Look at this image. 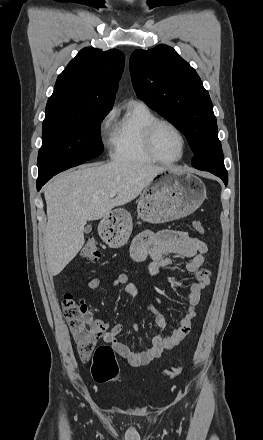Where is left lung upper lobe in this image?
Instances as JSON below:
<instances>
[{
    "label": "left lung upper lobe",
    "mask_w": 263,
    "mask_h": 440,
    "mask_svg": "<svg viewBox=\"0 0 263 440\" xmlns=\"http://www.w3.org/2000/svg\"><path fill=\"white\" fill-rule=\"evenodd\" d=\"M137 96L187 137L200 170L227 172L213 104L196 71L171 47L135 50L130 57Z\"/></svg>",
    "instance_id": "5c2ea615"
}]
</instances>
